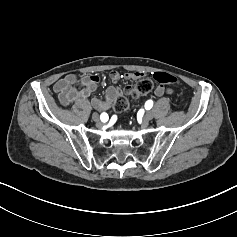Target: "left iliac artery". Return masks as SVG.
<instances>
[{"mask_svg": "<svg viewBox=\"0 0 237 237\" xmlns=\"http://www.w3.org/2000/svg\"><path fill=\"white\" fill-rule=\"evenodd\" d=\"M153 106V101L152 100H148L146 103H145V108L146 109H151Z\"/></svg>", "mask_w": 237, "mask_h": 237, "instance_id": "44dca946", "label": "left iliac artery"}]
</instances>
